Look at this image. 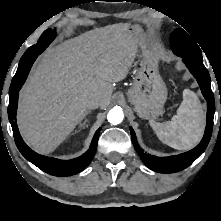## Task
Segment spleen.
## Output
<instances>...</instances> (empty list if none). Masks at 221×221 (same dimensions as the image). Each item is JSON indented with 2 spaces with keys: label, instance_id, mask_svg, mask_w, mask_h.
<instances>
[{
  "label": "spleen",
  "instance_id": "1",
  "mask_svg": "<svg viewBox=\"0 0 221 221\" xmlns=\"http://www.w3.org/2000/svg\"><path fill=\"white\" fill-rule=\"evenodd\" d=\"M149 122L164 144L178 150H189L195 147L203 136L205 112L195 93L185 89L183 101L171 120L163 123L154 120Z\"/></svg>",
  "mask_w": 221,
  "mask_h": 221
}]
</instances>
